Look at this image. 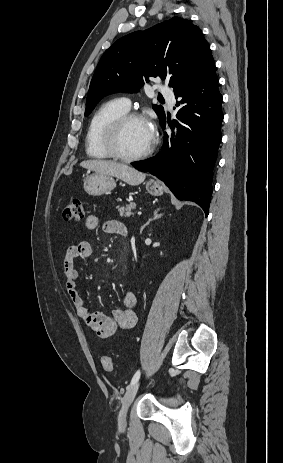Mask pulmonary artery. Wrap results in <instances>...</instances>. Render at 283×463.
I'll return each mask as SVG.
<instances>
[{"mask_svg":"<svg viewBox=\"0 0 283 463\" xmlns=\"http://www.w3.org/2000/svg\"><path fill=\"white\" fill-rule=\"evenodd\" d=\"M160 93L162 94V96L164 98H166L169 101L171 106L174 104L175 95H174V92L171 89L166 88V87H161L160 88ZM122 101H123L124 106L129 109L130 106H131V101L129 99H127V98L122 99Z\"/></svg>","mask_w":283,"mask_h":463,"instance_id":"1","label":"pulmonary artery"}]
</instances>
